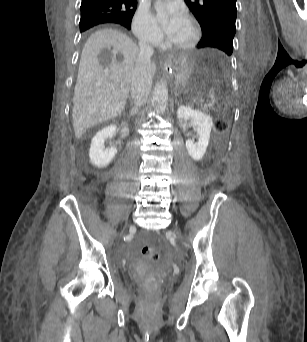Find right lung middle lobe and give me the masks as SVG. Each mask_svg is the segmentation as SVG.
Masks as SVG:
<instances>
[{
  "label": "right lung middle lobe",
  "instance_id": "right-lung-middle-lobe-1",
  "mask_svg": "<svg viewBox=\"0 0 307 342\" xmlns=\"http://www.w3.org/2000/svg\"><path fill=\"white\" fill-rule=\"evenodd\" d=\"M119 14L110 10H81L80 31L95 25L116 21Z\"/></svg>",
  "mask_w": 307,
  "mask_h": 342
}]
</instances>
